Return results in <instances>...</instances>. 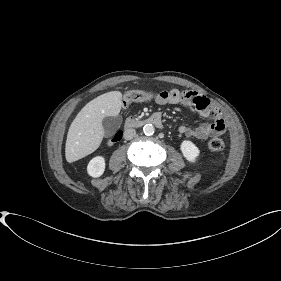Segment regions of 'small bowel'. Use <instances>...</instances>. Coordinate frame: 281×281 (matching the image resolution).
<instances>
[{
    "label": "small bowel",
    "mask_w": 281,
    "mask_h": 281,
    "mask_svg": "<svg viewBox=\"0 0 281 281\" xmlns=\"http://www.w3.org/2000/svg\"><path fill=\"white\" fill-rule=\"evenodd\" d=\"M155 103L159 105L193 106L202 116L208 118L207 122L201 123L194 128L181 125L178 128L181 135L204 140L211 136L223 134L226 130V124L219 108L208 98L195 91H181L178 89L162 91L155 98Z\"/></svg>",
    "instance_id": "obj_1"
}]
</instances>
